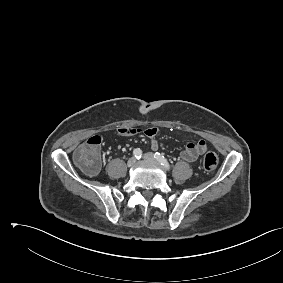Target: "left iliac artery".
<instances>
[{
    "label": "left iliac artery",
    "mask_w": 283,
    "mask_h": 283,
    "mask_svg": "<svg viewBox=\"0 0 283 283\" xmlns=\"http://www.w3.org/2000/svg\"><path fill=\"white\" fill-rule=\"evenodd\" d=\"M154 157L161 163V165H163L166 169H170V165L168 163V161L166 160V158L161 155L160 153L156 152L154 154Z\"/></svg>",
    "instance_id": "1"
}]
</instances>
